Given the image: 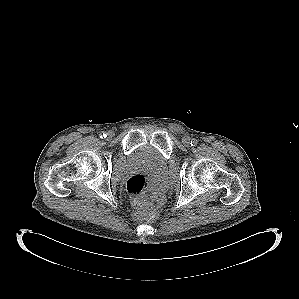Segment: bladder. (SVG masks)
Masks as SVG:
<instances>
[{"label":"bladder","instance_id":"obj_1","mask_svg":"<svg viewBox=\"0 0 299 299\" xmlns=\"http://www.w3.org/2000/svg\"><path fill=\"white\" fill-rule=\"evenodd\" d=\"M141 165L168 167V160L163 154L148 144H141L133 148L118 165V172L125 174L127 171Z\"/></svg>","mask_w":299,"mask_h":299}]
</instances>
